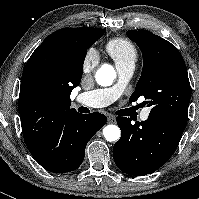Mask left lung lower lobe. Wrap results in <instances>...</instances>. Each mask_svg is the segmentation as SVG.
Masks as SVG:
<instances>
[{
	"instance_id": "0a47b994",
	"label": "left lung lower lobe",
	"mask_w": 199,
	"mask_h": 199,
	"mask_svg": "<svg viewBox=\"0 0 199 199\" xmlns=\"http://www.w3.org/2000/svg\"><path fill=\"white\" fill-rule=\"evenodd\" d=\"M122 136L115 143L113 158L117 167L130 175L144 176L163 166L175 152L186 123L160 113H150L146 121L131 124L117 117Z\"/></svg>"
}]
</instances>
